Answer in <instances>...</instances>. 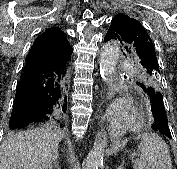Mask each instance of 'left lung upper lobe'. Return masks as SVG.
<instances>
[{"label":"left lung upper lobe","instance_id":"obj_1","mask_svg":"<svg viewBox=\"0 0 177 169\" xmlns=\"http://www.w3.org/2000/svg\"><path fill=\"white\" fill-rule=\"evenodd\" d=\"M110 39L119 40L127 54L135 58L141 66L144 84L160 91V69L155 47L145 28L136 19L120 13L112 19L104 38L105 41ZM144 84L139 83L140 87Z\"/></svg>","mask_w":177,"mask_h":169}]
</instances>
